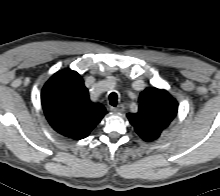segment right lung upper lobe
<instances>
[{"label": "right lung upper lobe", "mask_w": 220, "mask_h": 196, "mask_svg": "<svg viewBox=\"0 0 220 196\" xmlns=\"http://www.w3.org/2000/svg\"><path fill=\"white\" fill-rule=\"evenodd\" d=\"M41 101L52 128L75 140L87 137L107 113L102 104L90 101L83 79L70 69L58 71L48 80Z\"/></svg>", "instance_id": "1"}]
</instances>
